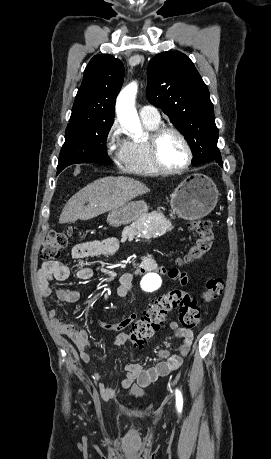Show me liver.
Listing matches in <instances>:
<instances>
[{"mask_svg": "<svg viewBox=\"0 0 271 459\" xmlns=\"http://www.w3.org/2000/svg\"><path fill=\"white\" fill-rule=\"evenodd\" d=\"M147 192H150L149 188L133 178H123V176L101 178L88 184L68 200L59 218V224L91 220L110 210H117L126 202ZM85 202H88V206H84Z\"/></svg>", "mask_w": 271, "mask_h": 459, "instance_id": "6515ba94", "label": "liver"}]
</instances>
